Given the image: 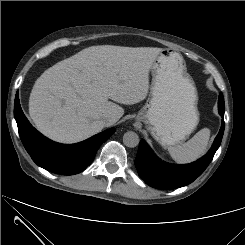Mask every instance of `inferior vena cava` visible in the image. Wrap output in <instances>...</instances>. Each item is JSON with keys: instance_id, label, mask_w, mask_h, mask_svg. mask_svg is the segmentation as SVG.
<instances>
[{"instance_id": "inferior-vena-cava-1", "label": "inferior vena cava", "mask_w": 245, "mask_h": 245, "mask_svg": "<svg viewBox=\"0 0 245 245\" xmlns=\"http://www.w3.org/2000/svg\"><path fill=\"white\" fill-rule=\"evenodd\" d=\"M106 122H109V123H111V124H114V123H116L117 122V119L115 118V117H113V116H106L105 117V119H104Z\"/></svg>"}]
</instances>
